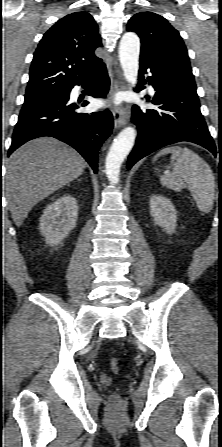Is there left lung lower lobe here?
Masks as SVG:
<instances>
[{
	"label": "left lung lower lobe",
	"instance_id": "1",
	"mask_svg": "<svg viewBox=\"0 0 222 447\" xmlns=\"http://www.w3.org/2000/svg\"><path fill=\"white\" fill-rule=\"evenodd\" d=\"M147 70L148 83L156 91L152 103L158 107L146 110L133 107L132 121L138 128V137L127 168L159 148L180 141L201 145L216 156V146L200 112L196 89L149 60L140 59V80Z\"/></svg>",
	"mask_w": 222,
	"mask_h": 447
}]
</instances>
